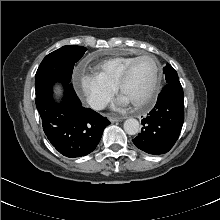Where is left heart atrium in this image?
Here are the masks:
<instances>
[{
  "label": "left heart atrium",
  "instance_id": "39dd6f15",
  "mask_svg": "<svg viewBox=\"0 0 220 220\" xmlns=\"http://www.w3.org/2000/svg\"><path fill=\"white\" fill-rule=\"evenodd\" d=\"M127 102H128V100L126 98L121 97V99H120L121 104H124V103H127Z\"/></svg>",
  "mask_w": 220,
  "mask_h": 220
}]
</instances>
